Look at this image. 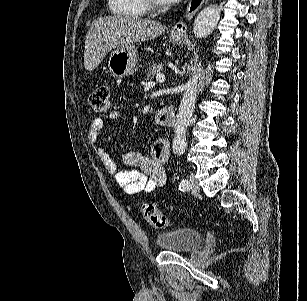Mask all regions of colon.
<instances>
[{
	"mask_svg": "<svg viewBox=\"0 0 307 301\" xmlns=\"http://www.w3.org/2000/svg\"><path fill=\"white\" fill-rule=\"evenodd\" d=\"M89 104L95 112H106L110 107V93L106 86H98L89 96ZM141 213L146 222L154 228H165L168 220L153 204L145 203L141 206Z\"/></svg>",
	"mask_w": 307,
	"mask_h": 301,
	"instance_id": "5ec220e1",
	"label": "colon"
}]
</instances>
